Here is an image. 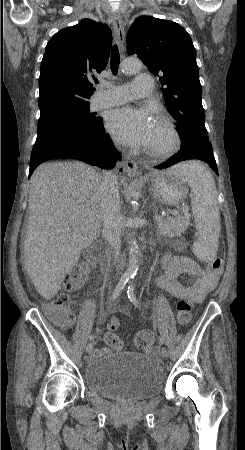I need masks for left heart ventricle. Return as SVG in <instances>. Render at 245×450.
Instances as JSON below:
<instances>
[{"instance_id": "1", "label": "left heart ventricle", "mask_w": 245, "mask_h": 450, "mask_svg": "<svg viewBox=\"0 0 245 450\" xmlns=\"http://www.w3.org/2000/svg\"><path fill=\"white\" fill-rule=\"evenodd\" d=\"M167 140L166 135L160 130L157 124L154 125L152 139L148 146L161 145Z\"/></svg>"}]
</instances>
